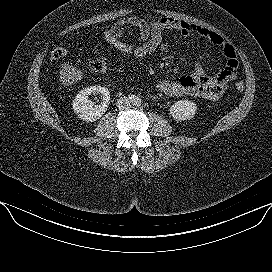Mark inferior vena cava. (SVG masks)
Listing matches in <instances>:
<instances>
[{"instance_id": "1", "label": "inferior vena cava", "mask_w": 272, "mask_h": 272, "mask_svg": "<svg viewBox=\"0 0 272 272\" xmlns=\"http://www.w3.org/2000/svg\"><path fill=\"white\" fill-rule=\"evenodd\" d=\"M117 107L119 109H129L131 108V102L129 100L128 97H120L118 100H117V103H116Z\"/></svg>"}]
</instances>
